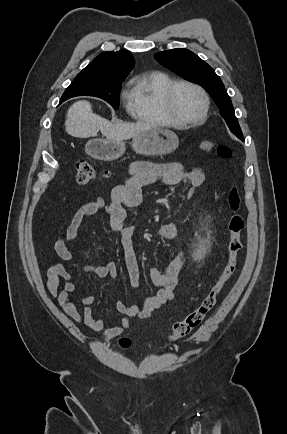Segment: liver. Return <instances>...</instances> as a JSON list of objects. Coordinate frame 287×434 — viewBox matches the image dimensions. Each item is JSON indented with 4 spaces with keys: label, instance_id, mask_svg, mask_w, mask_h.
<instances>
[{
    "label": "liver",
    "instance_id": "obj_1",
    "mask_svg": "<svg viewBox=\"0 0 287 434\" xmlns=\"http://www.w3.org/2000/svg\"><path fill=\"white\" fill-rule=\"evenodd\" d=\"M153 127L145 122L111 123L93 113L91 104L85 100L75 102L68 109L65 120L66 132L77 138L95 137L101 131L109 140H125Z\"/></svg>",
    "mask_w": 287,
    "mask_h": 434
}]
</instances>
